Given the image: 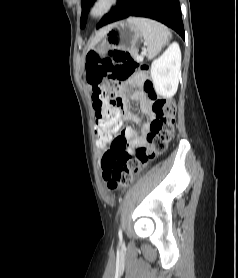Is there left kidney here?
<instances>
[{"label":"left kidney","instance_id":"left-kidney-1","mask_svg":"<svg viewBox=\"0 0 238 278\" xmlns=\"http://www.w3.org/2000/svg\"><path fill=\"white\" fill-rule=\"evenodd\" d=\"M180 67L181 51L179 45L173 43L151 65V77L158 94L167 98L175 95L179 83Z\"/></svg>","mask_w":238,"mask_h":278}]
</instances>
